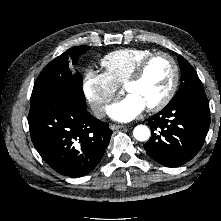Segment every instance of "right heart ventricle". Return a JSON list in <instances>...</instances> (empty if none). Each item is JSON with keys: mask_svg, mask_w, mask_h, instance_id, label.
Returning <instances> with one entry per match:
<instances>
[{"mask_svg": "<svg viewBox=\"0 0 221 221\" xmlns=\"http://www.w3.org/2000/svg\"><path fill=\"white\" fill-rule=\"evenodd\" d=\"M150 49L145 48H121L105 55L101 60V66L116 85L125 84L134 71L137 64L147 55Z\"/></svg>", "mask_w": 221, "mask_h": 221, "instance_id": "e07e8e85", "label": "right heart ventricle"}]
</instances>
